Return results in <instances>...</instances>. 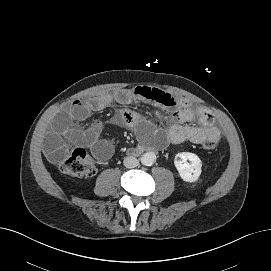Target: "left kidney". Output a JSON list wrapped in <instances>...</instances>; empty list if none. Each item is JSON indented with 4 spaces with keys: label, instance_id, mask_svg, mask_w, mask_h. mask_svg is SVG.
Returning a JSON list of instances; mask_svg holds the SVG:
<instances>
[{
    "label": "left kidney",
    "instance_id": "obj_1",
    "mask_svg": "<svg viewBox=\"0 0 271 271\" xmlns=\"http://www.w3.org/2000/svg\"><path fill=\"white\" fill-rule=\"evenodd\" d=\"M174 164L180 177L189 183L195 182L202 172V161L190 152H181L175 156Z\"/></svg>",
    "mask_w": 271,
    "mask_h": 271
}]
</instances>
